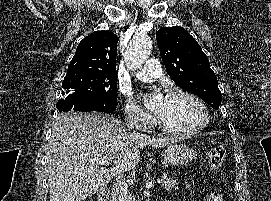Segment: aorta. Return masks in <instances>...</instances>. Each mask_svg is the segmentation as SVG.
I'll list each match as a JSON object with an SVG mask.
<instances>
[{"label":"aorta","instance_id":"762f6f07","mask_svg":"<svg viewBox=\"0 0 271 201\" xmlns=\"http://www.w3.org/2000/svg\"><path fill=\"white\" fill-rule=\"evenodd\" d=\"M152 41L143 33L135 35L125 51V63L131 70L140 68L151 53Z\"/></svg>","mask_w":271,"mask_h":201}]
</instances>
